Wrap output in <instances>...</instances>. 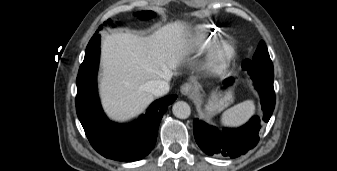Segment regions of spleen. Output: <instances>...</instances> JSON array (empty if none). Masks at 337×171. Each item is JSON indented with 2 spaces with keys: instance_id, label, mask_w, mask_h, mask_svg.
Masks as SVG:
<instances>
[{
  "instance_id": "1",
  "label": "spleen",
  "mask_w": 337,
  "mask_h": 171,
  "mask_svg": "<svg viewBox=\"0 0 337 171\" xmlns=\"http://www.w3.org/2000/svg\"><path fill=\"white\" fill-rule=\"evenodd\" d=\"M255 113L252 100H247L227 109L221 117V123L227 126H239Z\"/></svg>"
}]
</instances>
